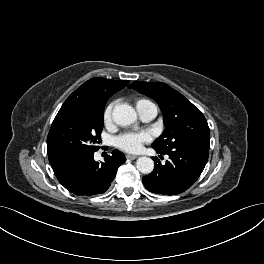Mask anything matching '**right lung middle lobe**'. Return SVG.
Listing matches in <instances>:
<instances>
[{"label": "right lung middle lobe", "instance_id": "dd1d6c3e", "mask_svg": "<svg viewBox=\"0 0 264 264\" xmlns=\"http://www.w3.org/2000/svg\"><path fill=\"white\" fill-rule=\"evenodd\" d=\"M104 105L65 101L47 138L48 158L78 151H97L103 128Z\"/></svg>", "mask_w": 264, "mask_h": 264}]
</instances>
